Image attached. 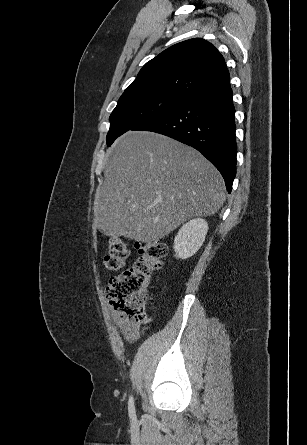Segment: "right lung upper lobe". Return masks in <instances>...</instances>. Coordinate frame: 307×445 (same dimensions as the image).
Returning <instances> with one entry per match:
<instances>
[{
  "mask_svg": "<svg viewBox=\"0 0 307 445\" xmlns=\"http://www.w3.org/2000/svg\"><path fill=\"white\" fill-rule=\"evenodd\" d=\"M228 77L218 50L195 38L175 44L147 62L122 96L159 94L188 98Z\"/></svg>",
  "mask_w": 307,
  "mask_h": 445,
  "instance_id": "obj_1",
  "label": "right lung upper lobe"
}]
</instances>
